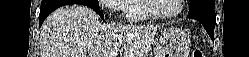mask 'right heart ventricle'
Instances as JSON below:
<instances>
[{"label":"right heart ventricle","mask_w":249,"mask_h":57,"mask_svg":"<svg viewBox=\"0 0 249 57\" xmlns=\"http://www.w3.org/2000/svg\"><path fill=\"white\" fill-rule=\"evenodd\" d=\"M124 12L130 20H145L149 16L143 10L142 0H126L124 3Z\"/></svg>","instance_id":"obj_1"}]
</instances>
